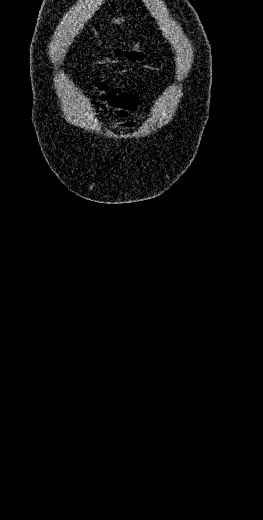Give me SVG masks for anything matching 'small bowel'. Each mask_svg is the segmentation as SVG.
I'll return each mask as SVG.
<instances>
[{"label":"small bowel","instance_id":"1","mask_svg":"<svg viewBox=\"0 0 263 520\" xmlns=\"http://www.w3.org/2000/svg\"><path fill=\"white\" fill-rule=\"evenodd\" d=\"M98 92L97 109L105 110L112 108L118 121L113 126L122 129L134 127V122L129 120L130 114L137 108V100L131 93L122 91L119 88L107 90L105 82L96 84Z\"/></svg>","mask_w":263,"mask_h":520}]
</instances>
